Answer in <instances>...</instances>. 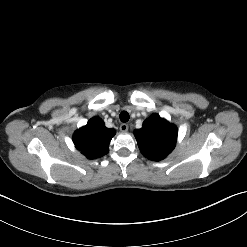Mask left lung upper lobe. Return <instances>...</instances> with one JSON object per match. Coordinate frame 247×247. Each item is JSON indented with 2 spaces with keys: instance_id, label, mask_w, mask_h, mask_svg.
<instances>
[{
  "instance_id": "left-lung-upper-lobe-1",
  "label": "left lung upper lobe",
  "mask_w": 247,
  "mask_h": 247,
  "mask_svg": "<svg viewBox=\"0 0 247 247\" xmlns=\"http://www.w3.org/2000/svg\"><path fill=\"white\" fill-rule=\"evenodd\" d=\"M134 135L141 153L150 160L160 161L175 148L177 128L153 114L144 121L141 129L134 131Z\"/></svg>"
}]
</instances>
